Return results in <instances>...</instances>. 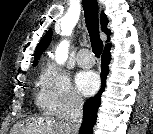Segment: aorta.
Instances as JSON below:
<instances>
[{
  "label": "aorta",
  "mask_w": 153,
  "mask_h": 134,
  "mask_svg": "<svg viewBox=\"0 0 153 134\" xmlns=\"http://www.w3.org/2000/svg\"><path fill=\"white\" fill-rule=\"evenodd\" d=\"M69 42L67 40L62 41L56 51V60L58 63H64L68 56Z\"/></svg>",
  "instance_id": "obj_1"
}]
</instances>
